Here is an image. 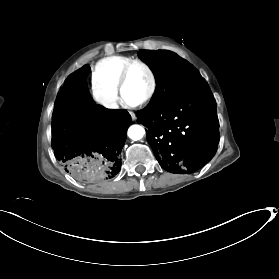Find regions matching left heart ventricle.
Instances as JSON below:
<instances>
[{"label":"left heart ventricle","mask_w":279,"mask_h":279,"mask_svg":"<svg viewBox=\"0 0 279 279\" xmlns=\"http://www.w3.org/2000/svg\"><path fill=\"white\" fill-rule=\"evenodd\" d=\"M151 86V80L147 71L141 66H134L128 75L124 100L127 104H133L143 99Z\"/></svg>","instance_id":"b2bd125f"}]
</instances>
